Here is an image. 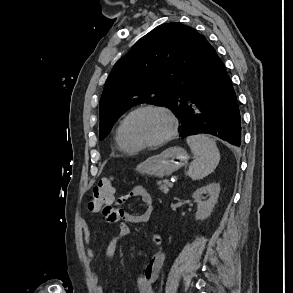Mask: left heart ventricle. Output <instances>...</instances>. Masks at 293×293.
<instances>
[{"label": "left heart ventricle", "mask_w": 293, "mask_h": 293, "mask_svg": "<svg viewBox=\"0 0 293 293\" xmlns=\"http://www.w3.org/2000/svg\"><path fill=\"white\" fill-rule=\"evenodd\" d=\"M169 129L168 120L160 113L142 111L128 123V136L134 143L153 142L164 136Z\"/></svg>", "instance_id": "obj_1"}]
</instances>
